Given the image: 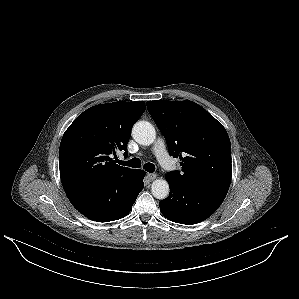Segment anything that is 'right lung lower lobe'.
Returning <instances> with one entry per match:
<instances>
[{"instance_id": "right-lung-lower-lobe-1", "label": "right lung lower lobe", "mask_w": 299, "mask_h": 299, "mask_svg": "<svg viewBox=\"0 0 299 299\" xmlns=\"http://www.w3.org/2000/svg\"><path fill=\"white\" fill-rule=\"evenodd\" d=\"M144 171L137 170L133 180L105 176L96 180L63 184L72 205L87 218L109 222L126 216L143 189Z\"/></svg>"}]
</instances>
